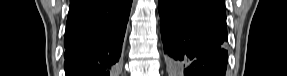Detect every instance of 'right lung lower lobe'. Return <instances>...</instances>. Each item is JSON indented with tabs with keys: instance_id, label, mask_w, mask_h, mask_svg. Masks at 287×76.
I'll return each instance as SVG.
<instances>
[{
	"instance_id": "obj_1",
	"label": "right lung lower lobe",
	"mask_w": 287,
	"mask_h": 76,
	"mask_svg": "<svg viewBox=\"0 0 287 76\" xmlns=\"http://www.w3.org/2000/svg\"><path fill=\"white\" fill-rule=\"evenodd\" d=\"M132 0H70L66 76H113Z\"/></svg>"
}]
</instances>
